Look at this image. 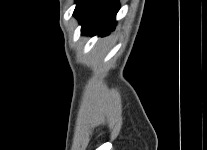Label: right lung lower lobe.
Masks as SVG:
<instances>
[{"label":"right lung lower lobe","mask_w":207,"mask_h":150,"mask_svg":"<svg viewBox=\"0 0 207 150\" xmlns=\"http://www.w3.org/2000/svg\"><path fill=\"white\" fill-rule=\"evenodd\" d=\"M74 16L82 25L83 35L107 34L114 30L118 0H76Z\"/></svg>","instance_id":"98d812e1"}]
</instances>
